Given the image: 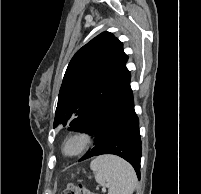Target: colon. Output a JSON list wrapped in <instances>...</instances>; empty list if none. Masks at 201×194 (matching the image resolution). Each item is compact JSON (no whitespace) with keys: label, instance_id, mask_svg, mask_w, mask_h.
I'll use <instances>...</instances> for the list:
<instances>
[{"label":"colon","instance_id":"colon-1","mask_svg":"<svg viewBox=\"0 0 201 194\" xmlns=\"http://www.w3.org/2000/svg\"><path fill=\"white\" fill-rule=\"evenodd\" d=\"M62 194H95L88 190L84 185H69Z\"/></svg>","mask_w":201,"mask_h":194}]
</instances>
